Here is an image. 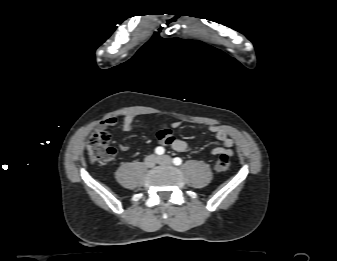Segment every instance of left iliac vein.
<instances>
[{
    "mask_svg": "<svg viewBox=\"0 0 337 261\" xmlns=\"http://www.w3.org/2000/svg\"><path fill=\"white\" fill-rule=\"evenodd\" d=\"M158 163L161 165H170L172 164V158L168 155H163L158 157Z\"/></svg>",
    "mask_w": 337,
    "mask_h": 261,
    "instance_id": "left-iliac-vein-1",
    "label": "left iliac vein"
}]
</instances>
